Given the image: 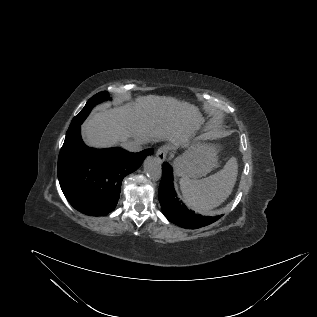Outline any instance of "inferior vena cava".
<instances>
[{"label": "inferior vena cava", "mask_w": 317, "mask_h": 317, "mask_svg": "<svg viewBox=\"0 0 317 317\" xmlns=\"http://www.w3.org/2000/svg\"><path fill=\"white\" fill-rule=\"evenodd\" d=\"M147 141L144 138H138L134 141H124L121 143L122 148L130 152H140L143 144Z\"/></svg>", "instance_id": "inferior-vena-cava-1"}]
</instances>
